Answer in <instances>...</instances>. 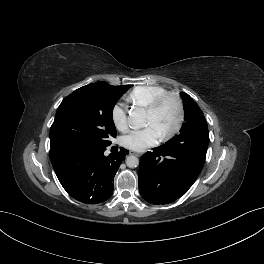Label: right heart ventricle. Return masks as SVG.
<instances>
[{
	"label": "right heart ventricle",
	"mask_w": 264,
	"mask_h": 264,
	"mask_svg": "<svg viewBox=\"0 0 264 264\" xmlns=\"http://www.w3.org/2000/svg\"><path fill=\"white\" fill-rule=\"evenodd\" d=\"M167 92V90L158 85H143L133 88L126 96V101L134 106L147 108L151 102Z\"/></svg>",
	"instance_id": "e07e8e85"
}]
</instances>
